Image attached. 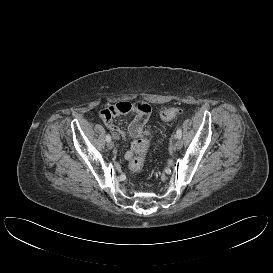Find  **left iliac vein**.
<instances>
[{"mask_svg": "<svg viewBox=\"0 0 273 273\" xmlns=\"http://www.w3.org/2000/svg\"><path fill=\"white\" fill-rule=\"evenodd\" d=\"M182 146H183L182 140H181V138H178V139L176 140V142H175V148H176L177 150H180V149L182 148Z\"/></svg>", "mask_w": 273, "mask_h": 273, "instance_id": "left-iliac-vein-1", "label": "left iliac vein"}]
</instances>
